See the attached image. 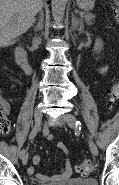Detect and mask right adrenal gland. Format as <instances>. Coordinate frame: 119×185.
<instances>
[{"mask_svg": "<svg viewBox=\"0 0 119 185\" xmlns=\"http://www.w3.org/2000/svg\"><path fill=\"white\" fill-rule=\"evenodd\" d=\"M43 18H44V15H43V11L41 10V11L39 12V22H38L37 25L34 27V31H35V32L42 30V28H43Z\"/></svg>", "mask_w": 119, "mask_h": 185, "instance_id": "2a0ac1e0", "label": "right adrenal gland"}]
</instances>
